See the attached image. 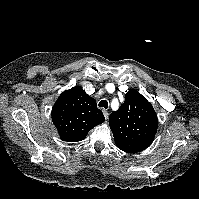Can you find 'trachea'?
<instances>
[{"mask_svg":"<svg viewBox=\"0 0 199 199\" xmlns=\"http://www.w3.org/2000/svg\"><path fill=\"white\" fill-rule=\"evenodd\" d=\"M98 105H99V107H103V108L107 109L108 108V101L107 100H101Z\"/></svg>","mask_w":199,"mask_h":199,"instance_id":"obj_1","label":"trachea"}]
</instances>
